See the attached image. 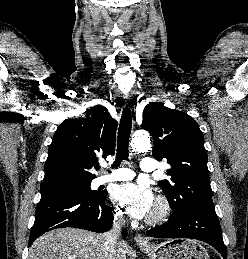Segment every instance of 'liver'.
Returning <instances> with one entry per match:
<instances>
[{"label":"liver","mask_w":248,"mask_h":259,"mask_svg":"<svg viewBox=\"0 0 248 259\" xmlns=\"http://www.w3.org/2000/svg\"><path fill=\"white\" fill-rule=\"evenodd\" d=\"M104 234L78 228H59L39 237L28 259H107ZM128 246L118 241L113 259H126Z\"/></svg>","instance_id":"obj_1"}]
</instances>
